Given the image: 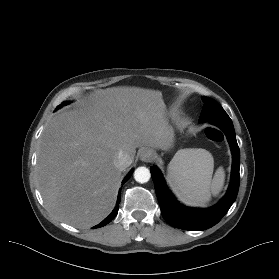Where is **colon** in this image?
Listing matches in <instances>:
<instances>
[{"label":"colon","mask_w":279,"mask_h":279,"mask_svg":"<svg viewBox=\"0 0 279 279\" xmlns=\"http://www.w3.org/2000/svg\"><path fill=\"white\" fill-rule=\"evenodd\" d=\"M207 136L210 140H212L214 142H221L223 140L222 132L215 128L208 129Z\"/></svg>","instance_id":"1"}]
</instances>
